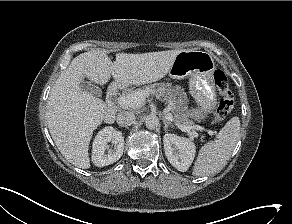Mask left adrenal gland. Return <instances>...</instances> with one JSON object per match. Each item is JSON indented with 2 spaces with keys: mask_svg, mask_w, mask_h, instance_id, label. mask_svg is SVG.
Wrapping results in <instances>:
<instances>
[{
  "mask_svg": "<svg viewBox=\"0 0 292 224\" xmlns=\"http://www.w3.org/2000/svg\"><path fill=\"white\" fill-rule=\"evenodd\" d=\"M163 123H164V130L167 131L168 126H173V124L171 122H169L168 120H166L165 118L162 119Z\"/></svg>",
  "mask_w": 292,
  "mask_h": 224,
  "instance_id": "left-adrenal-gland-1",
  "label": "left adrenal gland"
}]
</instances>
